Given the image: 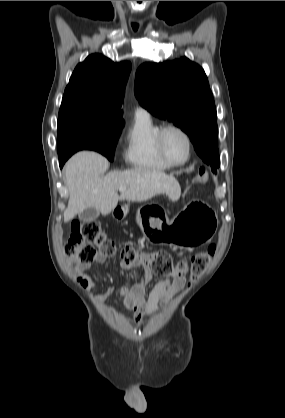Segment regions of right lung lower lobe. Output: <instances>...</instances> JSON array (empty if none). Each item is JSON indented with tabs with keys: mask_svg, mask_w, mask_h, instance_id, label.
Masks as SVG:
<instances>
[{
	"mask_svg": "<svg viewBox=\"0 0 285 418\" xmlns=\"http://www.w3.org/2000/svg\"><path fill=\"white\" fill-rule=\"evenodd\" d=\"M68 159V158H67ZM67 159H65V158H63V159H60L59 160V162H60V167H62L63 165H64V163L66 162V160Z\"/></svg>",
	"mask_w": 285,
	"mask_h": 418,
	"instance_id": "98d812e1",
	"label": "right lung lower lobe"
}]
</instances>
